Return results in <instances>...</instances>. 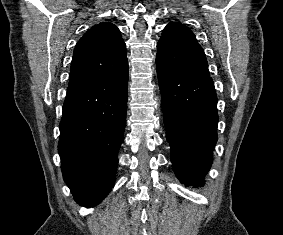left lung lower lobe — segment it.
<instances>
[{"instance_id": "left-lung-lower-lobe-1", "label": "left lung lower lobe", "mask_w": 283, "mask_h": 235, "mask_svg": "<svg viewBox=\"0 0 283 235\" xmlns=\"http://www.w3.org/2000/svg\"><path fill=\"white\" fill-rule=\"evenodd\" d=\"M167 141L176 176L202 186L217 141V96L210 76L157 64Z\"/></svg>"}]
</instances>
